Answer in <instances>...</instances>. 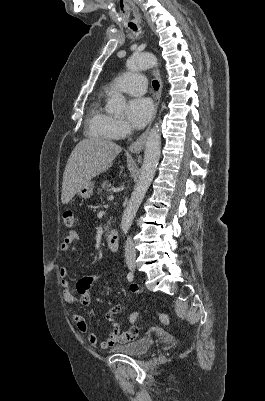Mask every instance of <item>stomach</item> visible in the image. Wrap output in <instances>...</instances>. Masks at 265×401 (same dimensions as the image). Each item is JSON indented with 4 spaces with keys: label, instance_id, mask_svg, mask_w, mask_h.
<instances>
[{
    "label": "stomach",
    "instance_id": "1",
    "mask_svg": "<svg viewBox=\"0 0 265 401\" xmlns=\"http://www.w3.org/2000/svg\"><path fill=\"white\" fill-rule=\"evenodd\" d=\"M94 188V182L92 180H88V182H84L81 184L80 188H78V194L81 198H90Z\"/></svg>",
    "mask_w": 265,
    "mask_h": 401
}]
</instances>
